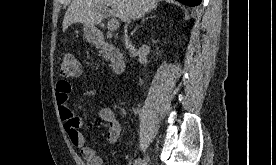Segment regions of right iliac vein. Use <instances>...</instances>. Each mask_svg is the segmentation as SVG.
Wrapping results in <instances>:
<instances>
[{
    "label": "right iliac vein",
    "instance_id": "1",
    "mask_svg": "<svg viewBox=\"0 0 276 165\" xmlns=\"http://www.w3.org/2000/svg\"><path fill=\"white\" fill-rule=\"evenodd\" d=\"M148 156H146L142 161H140L139 165H148Z\"/></svg>",
    "mask_w": 276,
    "mask_h": 165
}]
</instances>
